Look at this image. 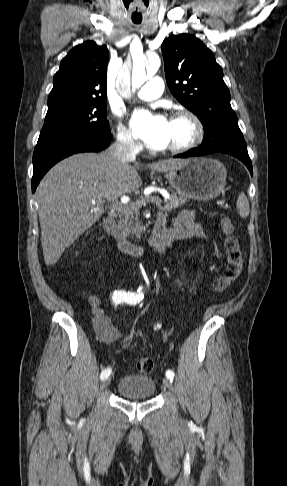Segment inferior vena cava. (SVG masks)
<instances>
[{"label": "inferior vena cava", "instance_id": "602c4592", "mask_svg": "<svg viewBox=\"0 0 287 486\" xmlns=\"http://www.w3.org/2000/svg\"><path fill=\"white\" fill-rule=\"evenodd\" d=\"M110 153L122 162L135 161L138 147L130 135H119L109 148Z\"/></svg>", "mask_w": 287, "mask_h": 486}]
</instances>
